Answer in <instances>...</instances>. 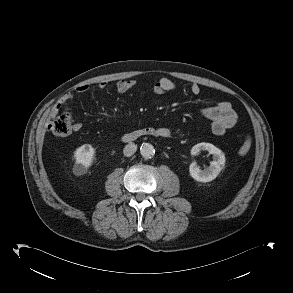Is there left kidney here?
I'll return each instance as SVG.
<instances>
[{
	"mask_svg": "<svg viewBox=\"0 0 293 293\" xmlns=\"http://www.w3.org/2000/svg\"><path fill=\"white\" fill-rule=\"evenodd\" d=\"M200 151H208L210 154L213 155V161L210 162L208 168L201 170L195 162H193L189 167V172L191 177L199 182H210L214 180L221 170L224 168L225 165V155L224 153L210 143H198L194 145L191 149V154L196 155Z\"/></svg>",
	"mask_w": 293,
	"mask_h": 293,
	"instance_id": "5707ae66",
	"label": "left kidney"
}]
</instances>
